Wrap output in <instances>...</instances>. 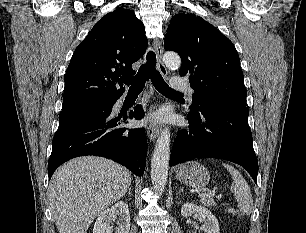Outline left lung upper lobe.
Segmentation results:
<instances>
[{"label": "left lung upper lobe", "mask_w": 306, "mask_h": 233, "mask_svg": "<svg viewBox=\"0 0 306 233\" xmlns=\"http://www.w3.org/2000/svg\"><path fill=\"white\" fill-rule=\"evenodd\" d=\"M164 48L181 57L179 74L189 76L195 91L192 112L211 104L246 108L239 55L233 43L213 25L194 14H177L170 21Z\"/></svg>", "instance_id": "obj_1"}]
</instances>
